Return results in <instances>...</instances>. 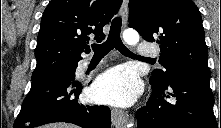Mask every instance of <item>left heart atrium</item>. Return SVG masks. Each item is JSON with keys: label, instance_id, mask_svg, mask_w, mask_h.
<instances>
[{"label": "left heart atrium", "instance_id": "obj_1", "mask_svg": "<svg viewBox=\"0 0 221 128\" xmlns=\"http://www.w3.org/2000/svg\"><path fill=\"white\" fill-rule=\"evenodd\" d=\"M139 80L128 68L118 66L98 78L91 95L101 103L120 107L131 105L138 96Z\"/></svg>", "mask_w": 221, "mask_h": 128}]
</instances>
